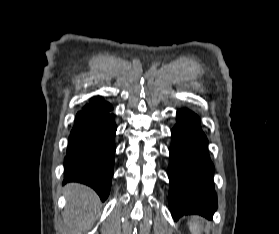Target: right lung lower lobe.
<instances>
[{
  "label": "right lung lower lobe",
  "mask_w": 279,
  "mask_h": 234,
  "mask_svg": "<svg viewBox=\"0 0 279 234\" xmlns=\"http://www.w3.org/2000/svg\"><path fill=\"white\" fill-rule=\"evenodd\" d=\"M112 109L101 97H95L77 113L64 160V183L86 184L102 201L109 195L114 168L117 127Z\"/></svg>",
  "instance_id": "obj_1"
}]
</instances>
